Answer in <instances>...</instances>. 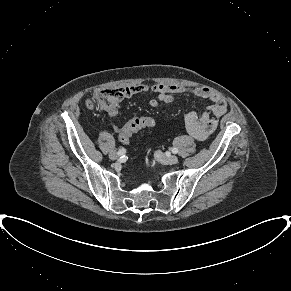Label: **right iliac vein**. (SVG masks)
Returning <instances> with one entry per match:
<instances>
[{"label": "right iliac vein", "mask_w": 291, "mask_h": 291, "mask_svg": "<svg viewBox=\"0 0 291 291\" xmlns=\"http://www.w3.org/2000/svg\"><path fill=\"white\" fill-rule=\"evenodd\" d=\"M119 157H120V155H119L117 152H115V151H111V152L109 153V158L112 159V160H116V159H118Z\"/></svg>", "instance_id": "right-iliac-vein-1"}]
</instances>
